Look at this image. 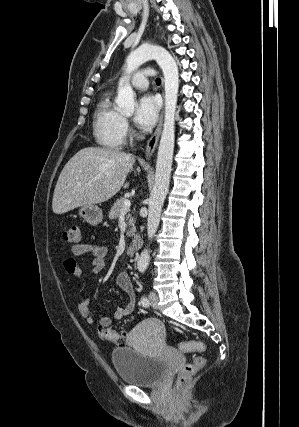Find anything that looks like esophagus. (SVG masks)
<instances>
[{
	"label": "esophagus",
	"mask_w": 299,
	"mask_h": 427,
	"mask_svg": "<svg viewBox=\"0 0 299 427\" xmlns=\"http://www.w3.org/2000/svg\"><path fill=\"white\" fill-rule=\"evenodd\" d=\"M162 122H163V110L161 112L157 128L147 142V146H146V158L147 159H149L152 156V154L154 153V151L157 147L159 137L161 134V130H162Z\"/></svg>",
	"instance_id": "34e87169"
}]
</instances>
